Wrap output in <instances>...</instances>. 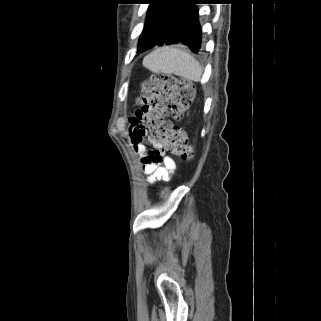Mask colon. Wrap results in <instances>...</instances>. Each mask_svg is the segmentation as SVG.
Wrapping results in <instances>:
<instances>
[{"label": "colon", "mask_w": 321, "mask_h": 321, "mask_svg": "<svg viewBox=\"0 0 321 321\" xmlns=\"http://www.w3.org/2000/svg\"><path fill=\"white\" fill-rule=\"evenodd\" d=\"M193 99V86L188 81L170 75H152L142 86L138 102L145 107L153 105L155 113L149 121L151 136L158 145L157 159L170 153L182 159H190L193 148L185 131L169 120L162 119L169 112L175 121H180Z\"/></svg>", "instance_id": "obj_1"}]
</instances>
